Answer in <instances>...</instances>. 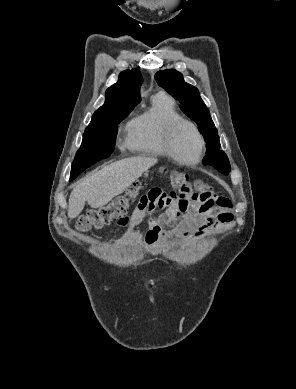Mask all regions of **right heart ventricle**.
<instances>
[{
  "label": "right heart ventricle",
  "instance_id": "obj_1",
  "mask_svg": "<svg viewBox=\"0 0 296 389\" xmlns=\"http://www.w3.org/2000/svg\"><path fill=\"white\" fill-rule=\"evenodd\" d=\"M179 117L174 99L163 92L157 93L151 107L127 123L128 148L148 156L165 157L164 129L169 121Z\"/></svg>",
  "mask_w": 296,
  "mask_h": 389
}]
</instances>
